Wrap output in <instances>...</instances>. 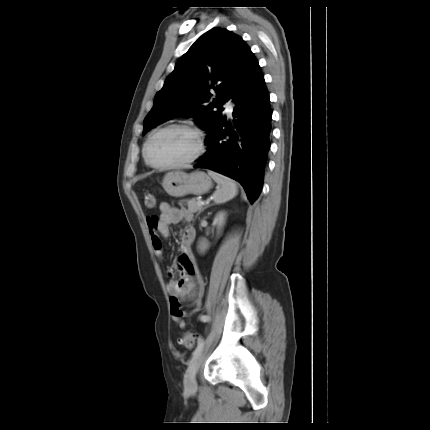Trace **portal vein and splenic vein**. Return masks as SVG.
<instances>
[{"label":"portal vein and splenic vein","mask_w":430,"mask_h":430,"mask_svg":"<svg viewBox=\"0 0 430 430\" xmlns=\"http://www.w3.org/2000/svg\"><path fill=\"white\" fill-rule=\"evenodd\" d=\"M205 203L202 201V200H198L197 201V205H199V206H203Z\"/></svg>","instance_id":"1"}]
</instances>
